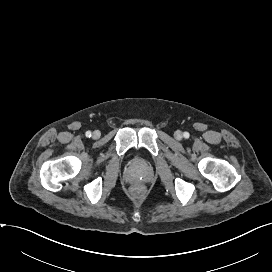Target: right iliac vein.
I'll use <instances>...</instances> for the list:
<instances>
[{
	"label": "right iliac vein",
	"mask_w": 272,
	"mask_h": 272,
	"mask_svg": "<svg viewBox=\"0 0 272 272\" xmlns=\"http://www.w3.org/2000/svg\"><path fill=\"white\" fill-rule=\"evenodd\" d=\"M100 135H101V133L98 130H96V131L93 132V138L94 139H98L100 137Z\"/></svg>",
	"instance_id": "63e3f726"
}]
</instances>
